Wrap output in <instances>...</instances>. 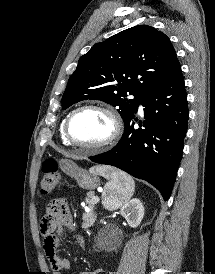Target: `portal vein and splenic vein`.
Masks as SVG:
<instances>
[{"mask_svg": "<svg viewBox=\"0 0 215 274\" xmlns=\"http://www.w3.org/2000/svg\"><path fill=\"white\" fill-rule=\"evenodd\" d=\"M93 201H94L95 203H97V202H99V198H98L97 196H94V197H93Z\"/></svg>", "mask_w": 215, "mask_h": 274, "instance_id": "portal-vein-and-splenic-vein-1", "label": "portal vein and splenic vein"}]
</instances>
